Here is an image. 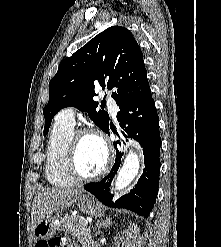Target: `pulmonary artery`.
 <instances>
[{"instance_id": "1", "label": "pulmonary artery", "mask_w": 221, "mask_h": 247, "mask_svg": "<svg viewBox=\"0 0 221 247\" xmlns=\"http://www.w3.org/2000/svg\"><path fill=\"white\" fill-rule=\"evenodd\" d=\"M107 101H108L109 107L111 108V113L113 115H115L117 112L116 103L109 97L107 98ZM57 119L64 124L74 126L75 125V110H74V108H72V107L65 108L64 110H62L58 114Z\"/></svg>"}]
</instances>
